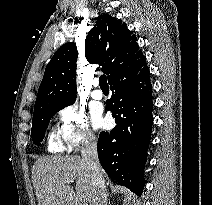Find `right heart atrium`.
I'll list each match as a JSON object with an SVG mask.
<instances>
[{
	"label": "right heart atrium",
	"instance_id": "1",
	"mask_svg": "<svg viewBox=\"0 0 212 205\" xmlns=\"http://www.w3.org/2000/svg\"><path fill=\"white\" fill-rule=\"evenodd\" d=\"M57 133L62 143L70 150L92 144L94 135L89 127L85 111L75 104L67 105L58 112Z\"/></svg>",
	"mask_w": 212,
	"mask_h": 205
}]
</instances>
